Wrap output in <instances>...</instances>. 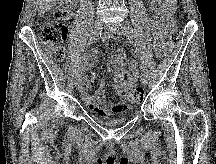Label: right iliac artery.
<instances>
[{
    "instance_id": "right-iliac-artery-1",
    "label": "right iliac artery",
    "mask_w": 216,
    "mask_h": 164,
    "mask_svg": "<svg viewBox=\"0 0 216 164\" xmlns=\"http://www.w3.org/2000/svg\"><path fill=\"white\" fill-rule=\"evenodd\" d=\"M101 37V32L100 31H95L92 33V36L90 37L89 45L93 43V41H97ZM77 73L81 72L80 67L76 69Z\"/></svg>"
}]
</instances>
